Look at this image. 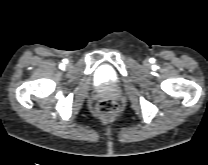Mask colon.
Masks as SVG:
<instances>
[{
  "instance_id": "colon-1",
  "label": "colon",
  "mask_w": 208,
  "mask_h": 165,
  "mask_svg": "<svg viewBox=\"0 0 208 165\" xmlns=\"http://www.w3.org/2000/svg\"><path fill=\"white\" fill-rule=\"evenodd\" d=\"M118 111L117 104L111 99H101L96 103L95 112L103 120L112 119Z\"/></svg>"
}]
</instances>
